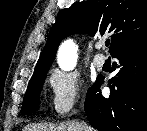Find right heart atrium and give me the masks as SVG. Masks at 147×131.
<instances>
[{
    "label": "right heart atrium",
    "instance_id": "1",
    "mask_svg": "<svg viewBox=\"0 0 147 131\" xmlns=\"http://www.w3.org/2000/svg\"><path fill=\"white\" fill-rule=\"evenodd\" d=\"M48 83L52 92V108L57 116H67L80 102L83 82L75 72L51 71Z\"/></svg>",
    "mask_w": 147,
    "mask_h": 131
}]
</instances>
